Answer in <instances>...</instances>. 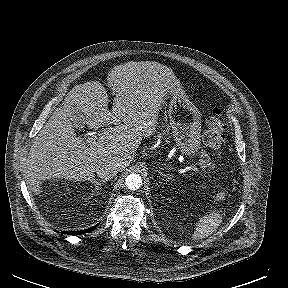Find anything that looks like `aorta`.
Instances as JSON below:
<instances>
[{"label": "aorta", "instance_id": "762f6f07", "mask_svg": "<svg viewBox=\"0 0 288 288\" xmlns=\"http://www.w3.org/2000/svg\"><path fill=\"white\" fill-rule=\"evenodd\" d=\"M126 187L130 190H138L142 186V177L139 174H130L125 179Z\"/></svg>", "mask_w": 288, "mask_h": 288}]
</instances>
